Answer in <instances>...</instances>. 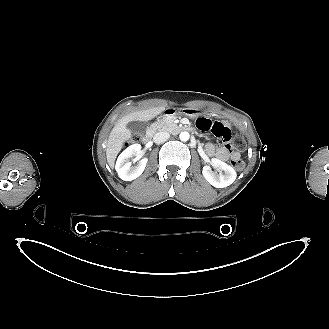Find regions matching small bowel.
<instances>
[{
  "label": "small bowel",
  "mask_w": 329,
  "mask_h": 329,
  "mask_svg": "<svg viewBox=\"0 0 329 329\" xmlns=\"http://www.w3.org/2000/svg\"><path fill=\"white\" fill-rule=\"evenodd\" d=\"M196 129L200 131H208L221 141L223 144L216 147L213 143H208L205 147L206 153L215 156L221 161L228 159H239L240 153L228 145L232 140L231 129L225 123L219 122L213 118L207 119L203 116L197 117L193 121Z\"/></svg>",
  "instance_id": "obj_1"
}]
</instances>
